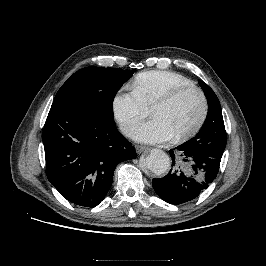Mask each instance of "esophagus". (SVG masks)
<instances>
[{"label": "esophagus", "mask_w": 266, "mask_h": 266, "mask_svg": "<svg viewBox=\"0 0 266 266\" xmlns=\"http://www.w3.org/2000/svg\"><path fill=\"white\" fill-rule=\"evenodd\" d=\"M135 150H136V153H137V154H140V153L144 152L145 150H148V148L145 147V146H139V145H137V146L135 147Z\"/></svg>", "instance_id": "esophagus-1"}]
</instances>
